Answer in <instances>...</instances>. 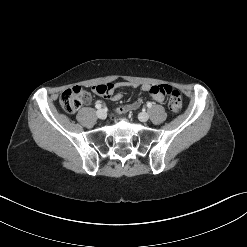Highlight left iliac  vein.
<instances>
[{
  "label": "left iliac vein",
  "instance_id": "1",
  "mask_svg": "<svg viewBox=\"0 0 247 247\" xmlns=\"http://www.w3.org/2000/svg\"><path fill=\"white\" fill-rule=\"evenodd\" d=\"M138 118L141 122H146L148 121L149 119V115L145 112H141L139 115H138Z\"/></svg>",
  "mask_w": 247,
  "mask_h": 247
}]
</instances>
